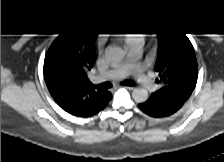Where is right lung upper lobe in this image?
Instances as JSON below:
<instances>
[{"mask_svg":"<svg viewBox=\"0 0 224 162\" xmlns=\"http://www.w3.org/2000/svg\"><path fill=\"white\" fill-rule=\"evenodd\" d=\"M98 32L77 28L59 36L44 61V78L56 103L68 113L89 117L104 109L112 94L94 90L87 73L95 62Z\"/></svg>","mask_w":224,"mask_h":162,"instance_id":"obj_1","label":"right lung upper lobe"}]
</instances>
